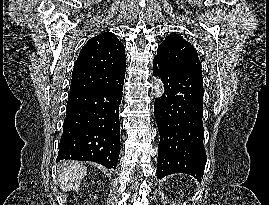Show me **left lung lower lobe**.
<instances>
[{"mask_svg":"<svg viewBox=\"0 0 269 205\" xmlns=\"http://www.w3.org/2000/svg\"><path fill=\"white\" fill-rule=\"evenodd\" d=\"M153 73L165 92L155 100L154 115L160 134L157 176L187 173L198 180L204 174L203 78L196 72L175 70L158 58Z\"/></svg>","mask_w":269,"mask_h":205,"instance_id":"0a47b994","label":"left lung lower lobe"}]
</instances>
